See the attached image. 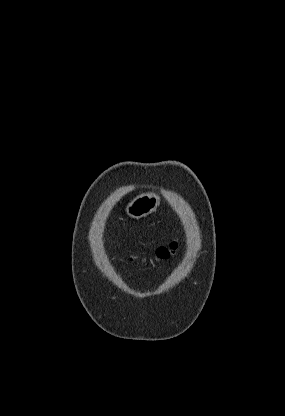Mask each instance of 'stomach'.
<instances>
[{"label":"stomach","instance_id":"1","mask_svg":"<svg viewBox=\"0 0 285 416\" xmlns=\"http://www.w3.org/2000/svg\"><path fill=\"white\" fill-rule=\"evenodd\" d=\"M159 204L160 198L156 194H152V192L150 194H140V196L131 200L130 204L126 206L125 212L130 218L139 220V218H145L152 212H156Z\"/></svg>","mask_w":285,"mask_h":416}]
</instances>
